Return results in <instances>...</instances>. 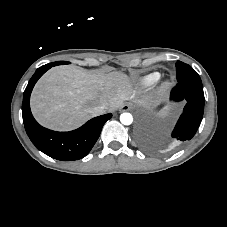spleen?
I'll use <instances>...</instances> for the list:
<instances>
[{
    "label": "spleen",
    "instance_id": "3e777b00",
    "mask_svg": "<svg viewBox=\"0 0 227 227\" xmlns=\"http://www.w3.org/2000/svg\"><path fill=\"white\" fill-rule=\"evenodd\" d=\"M165 114H166V113L163 112L161 115H165Z\"/></svg>",
    "mask_w": 227,
    "mask_h": 227
}]
</instances>
